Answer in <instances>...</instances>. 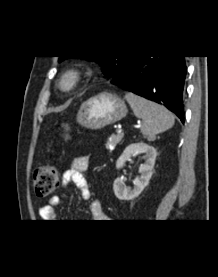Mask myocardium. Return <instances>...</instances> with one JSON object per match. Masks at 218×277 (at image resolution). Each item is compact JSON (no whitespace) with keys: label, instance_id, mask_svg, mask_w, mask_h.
I'll list each match as a JSON object with an SVG mask.
<instances>
[{"label":"myocardium","instance_id":"f54148a6","mask_svg":"<svg viewBox=\"0 0 218 277\" xmlns=\"http://www.w3.org/2000/svg\"><path fill=\"white\" fill-rule=\"evenodd\" d=\"M84 77V71L78 67L66 69L57 81V86L62 92H72L75 90Z\"/></svg>","mask_w":218,"mask_h":277}]
</instances>
